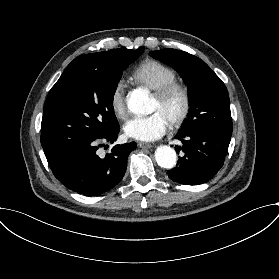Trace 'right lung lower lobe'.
Segmentation results:
<instances>
[{
  "label": "right lung lower lobe",
  "mask_w": 279,
  "mask_h": 279,
  "mask_svg": "<svg viewBox=\"0 0 279 279\" xmlns=\"http://www.w3.org/2000/svg\"><path fill=\"white\" fill-rule=\"evenodd\" d=\"M119 124L103 137L66 145L47 156L54 176L67 188L85 196H98L116 186L123 178L127 159L136 143L115 145L110 154L100 158L96 151L100 141L117 140Z\"/></svg>",
  "instance_id": "1"
}]
</instances>
